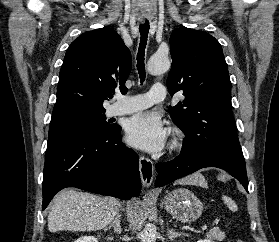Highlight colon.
Wrapping results in <instances>:
<instances>
[{"label": "colon", "mask_w": 279, "mask_h": 242, "mask_svg": "<svg viewBox=\"0 0 279 242\" xmlns=\"http://www.w3.org/2000/svg\"><path fill=\"white\" fill-rule=\"evenodd\" d=\"M236 242H245V241H243V240H241V239H238V240H236Z\"/></svg>", "instance_id": "5ec220e1"}]
</instances>
